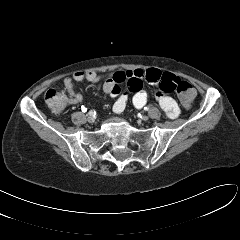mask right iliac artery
Returning a JSON list of instances; mask_svg holds the SVG:
<instances>
[{
    "instance_id": "right-iliac-artery-1",
    "label": "right iliac artery",
    "mask_w": 240,
    "mask_h": 240,
    "mask_svg": "<svg viewBox=\"0 0 240 240\" xmlns=\"http://www.w3.org/2000/svg\"><path fill=\"white\" fill-rule=\"evenodd\" d=\"M82 111H83V112H86L87 109L83 106V107H82ZM89 114H90V115H93V114L95 115V111H92V110H91V111H89Z\"/></svg>"
}]
</instances>
